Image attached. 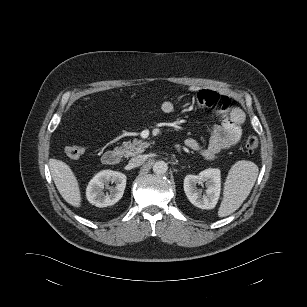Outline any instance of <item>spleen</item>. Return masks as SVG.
<instances>
[{"label":"spleen","instance_id":"spleen-1","mask_svg":"<svg viewBox=\"0 0 307 307\" xmlns=\"http://www.w3.org/2000/svg\"><path fill=\"white\" fill-rule=\"evenodd\" d=\"M258 171V166L251 161L241 160L232 165L224 183L219 217L232 214L242 205L255 184Z\"/></svg>","mask_w":307,"mask_h":307}]
</instances>
